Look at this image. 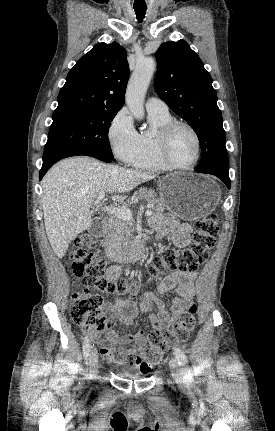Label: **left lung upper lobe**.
<instances>
[{
	"instance_id": "1",
	"label": "left lung upper lobe",
	"mask_w": 275,
	"mask_h": 431,
	"mask_svg": "<svg viewBox=\"0 0 275 431\" xmlns=\"http://www.w3.org/2000/svg\"><path fill=\"white\" fill-rule=\"evenodd\" d=\"M155 57L157 94L194 128L199 138L202 160L195 170L228 173L223 119L212 78L203 62L184 40L163 43Z\"/></svg>"
}]
</instances>
